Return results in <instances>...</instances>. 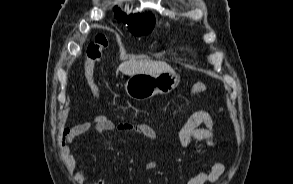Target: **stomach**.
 <instances>
[{"instance_id":"stomach-1","label":"stomach","mask_w":293,"mask_h":184,"mask_svg":"<svg viewBox=\"0 0 293 184\" xmlns=\"http://www.w3.org/2000/svg\"><path fill=\"white\" fill-rule=\"evenodd\" d=\"M179 82L180 78L175 72L138 73L129 77L125 83V91L132 99L146 100L156 94L170 93Z\"/></svg>"}]
</instances>
